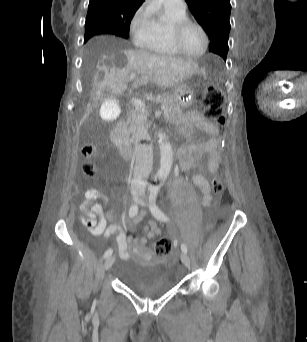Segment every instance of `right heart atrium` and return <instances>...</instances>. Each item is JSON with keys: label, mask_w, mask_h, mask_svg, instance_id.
<instances>
[{"label": "right heart atrium", "mask_w": 307, "mask_h": 342, "mask_svg": "<svg viewBox=\"0 0 307 342\" xmlns=\"http://www.w3.org/2000/svg\"><path fill=\"white\" fill-rule=\"evenodd\" d=\"M154 21L148 17L143 8L138 9L130 18L128 36L133 44H139L153 37Z\"/></svg>", "instance_id": "1"}]
</instances>
